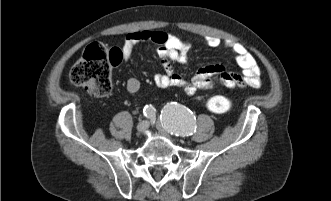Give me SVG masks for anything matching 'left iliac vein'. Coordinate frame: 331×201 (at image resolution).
<instances>
[{
    "label": "left iliac vein",
    "instance_id": "left-iliac-vein-1",
    "mask_svg": "<svg viewBox=\"0 0 331 201\" xmlns=\"http://www.w3.org/2000/svg\"><path fill=\"white\" fill-rule=\"evenodd\" d=\"M161 133H162L164 136H166L167 138L172 139V136H171L168 132H166L165 130H161Z\"/></svg>",
    "mask_w": 331,
    "mask_h": 201
}]
</instances>
